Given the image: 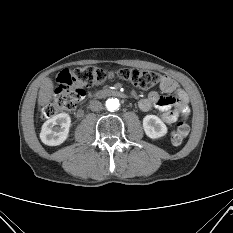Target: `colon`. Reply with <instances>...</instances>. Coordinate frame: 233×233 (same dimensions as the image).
<instances>
[{"mask_svg": "<svg viewBox=\"0 0 233 233\" xmlns=\"http://www.w3.org/2000/svg\"><path fill=\"white\" fill-rule=\"evenodd\" d=\"M115 78L141 89L151 88L161 80L159 73L149 70L122 68L117 71H107L95 66L66 69L58 75L59 86L52 100L43 107L41 118H51L58 113L75 109L85 95V88L96 87ZM188 133V123L181 121L171 134L172 143L181 144Z\"/></svg>", "mask_w": 233, "mask_h": 233, "instance_id": "5ec220e1", "label": "colon"}]
</instances>
